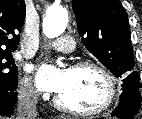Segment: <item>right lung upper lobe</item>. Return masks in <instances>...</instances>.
<instances>
[{
    "instance_id": "right-lung-upper-lobe-1",
    "label": "right lung upper lobe",
    "mask_w": 142,
    "mask_h": 119,
    "mask_svg": "<svg viewBox=\"0 0 142 119\" xmlns=\"http://www.w3.org/2000/svg\"><path fill=\"white\" fill-rule=\"evenodd\" d=\"M25 14L24 0H0V50L16 49Z\"/></svg>"
}]
</instances>
